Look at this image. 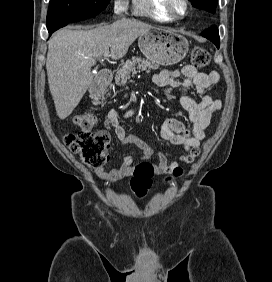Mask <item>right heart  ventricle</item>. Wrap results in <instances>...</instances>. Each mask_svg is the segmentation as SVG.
Listing matches in <instances>:
<instances>
[{
	"mask_svg": "<svg viewBox=\"0 0 272 282\" xmlns=\"http://www.w3.org/2000/svg\"><path fill=\"white\" fill-rule=\"evenodd\" d=\"M134 14L147 16L159 22L174 20L162 7V0H134Z\"/></svg>",
	"mask_w": 272,
	"mask_h": 282,
	"instance_id": "e07e8e85",
	"label": "right heart ventricle"
}]
</instances>
